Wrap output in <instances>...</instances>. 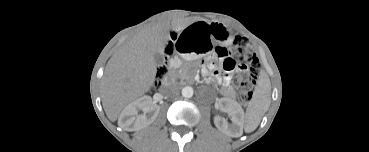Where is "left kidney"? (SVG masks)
Listing matches in <instances>:
<instances>
[{"label":"left kidney","instance_id":"obj_1","mask_svg":"<svg viewBox=\"0 0 369 152\" xmlns=\"http://www.w3.org/2000/svg\"><path fill=\"white\" fill-rule=\"evenodd\" d=\"M219 107L227 111L236 124H240L244 119V111L239 103L228 98L219 100Z\"/></svg>","mask_w":369,"mask_h":152}]
</instances>
